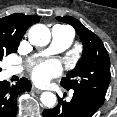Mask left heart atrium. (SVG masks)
Listing matches in <instances>:
<instances>
[{"label": "left heart atrium", "mask_w": 117, "mask_h": 117, "mask_svg": "<svg viewBox=\"0 0 117 117\" xmlns=\"http://www.w3.org/2000/svg\"><path fill=\"white\" fill-rule=\"evenodd\" d=\"M61 72L62 67L58 61L48 60L34 65L31 69V76L35 83L44 85Z\"/></svg>", "instance_id": "left-heart-atrium-1"}]
</instances>
